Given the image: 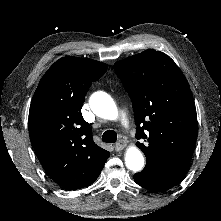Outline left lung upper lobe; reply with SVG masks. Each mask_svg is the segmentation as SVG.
I'll use <instances>...</instances> for the list:
<instances>
[{
    "instance_id": "left-lung-upper-lobe-1",
    "label": "left lung upper lobe",
    "mask_w": 221,
    "mask_h": 221,
    "mask_svg": "<svg viewBox=\"0 0 221 221\" xmlns=\"http://www.w3.org/2000/svg\"><path fill=\"white\" fill-rule=\"evenodd\" d=\"M128 92L137 126L136 145L146 156L142 171L185 173L198 133L192 92L183 73L166 54L146 50L114 64Z\"/></svg>"
}]
</instances>
